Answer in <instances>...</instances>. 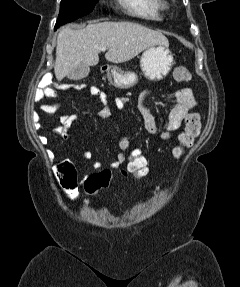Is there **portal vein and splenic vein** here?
<instances>
[{
  "instance_id": "obj_1",
  "label": "portal vein and splenic vein",
  "mask_w": 240,
  "mask_h": 287,
  "mask_svg": "<svg viewBox=\"0 0 240 287\" xmlns=\"http://www.w3.org/2000/svg\"><path fill=\"white\" fill-rule=\"evenodd\" d=\"M106 50H107V47H103V48H102V51H106Z\"/></svg>"
}]
</instances>
